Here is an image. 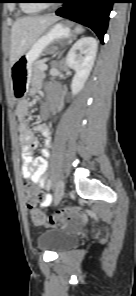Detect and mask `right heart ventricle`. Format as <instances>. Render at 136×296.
<instances>
[{
    "label": "right heart ventricle",
    "mask_w": 136,
    "mask_h": 296,
    "mask_svg": "<svg viewBox=\"0 0 136 296\" xmlns=\"http://www.w3.org/2000/svg\"><path fill=\"white\" fill-rule=\"evenodd\" d=\"M35 2L36 0H23V3L21 4L22 11L27 14L39 12L42 9V6Z\"/></svg>",
    "instance_id": "1"
}]
</instances>
